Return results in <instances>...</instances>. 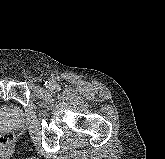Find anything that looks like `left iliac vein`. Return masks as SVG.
<instances>
[{
    "label": "left iliac vein",
    "mask_w": 165,
    "mask_h": 159,
    "mask_svg": "<svg viewBox=\"0 0 165 159\" xmlns=\"http://www.w3.org/2000/svg\"><path fill=\"white\" fill-rule=\"evenodd\" d=\"M48 87L50 88V87H51V85L49 84V85H48Z\"/></svg>",
    "instance_id": "left-iliac-vein-1"
}]
</instances>
